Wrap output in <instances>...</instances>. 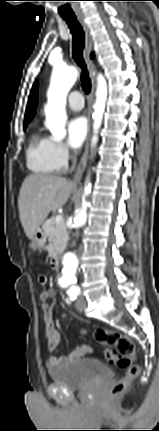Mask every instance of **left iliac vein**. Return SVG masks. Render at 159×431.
<instances>
[{"instance_id": "1", "label": "left iliac vein", "mask_w": 159, "mask_h": 431, "mask_svg": "<svg viewBox=\"0 0 159 431\" xmlns=\"http://www.w3.org/2000/svg\"><path fill=\"white\" fill-rule=\"evenodd\" d=\"M86 307V301L83 296H79L76 301V308L79 312H83Z\"/></svg>"}]
</instances>
